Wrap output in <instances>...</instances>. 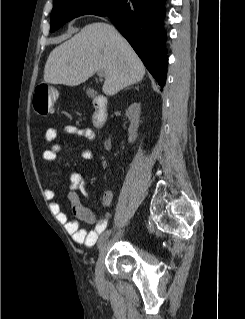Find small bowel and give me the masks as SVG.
<instances>
[{"instance_id":"small-bowel-1","label":"small bowel","mask_w":245,"mask_h":319,"mask_svg":"<svg viewBox=\"0 0 245 319\" xmlns=\"http://www.w3.org/2000/svg\"><path fill=\"white\" fill-rule=\"evenodd\" d=\"M67 134L78 135L89 142L96 140V135L91 128H79L74 125H67L64 128ZM59 133V129L55 127L48 128L45 132V142L51 144V147L43 152V161L47 164L59 163L62 160V146L54 143ZM83 160H88L92 157L90 149H83L80 153ZM70 193L68 199L71 203L72 214L74 219H69L68 215L62 210L61 205L56 201H51V211L56 215L59 222L64 224L66 231L71 235L72 239L80 244L87 246L94 245L101 233L105 230L111 214L109 212H95L85 207L77 193L79 191L85 197H89L88 190L89 181L76 171H72L69 175ZM45 198L52 200L55 196L54 191L46 189L44 191ZM113 194L110 190L105 191L102 196L103 207H108L111 204ZM81 222L92 225L91 229H86L81 226Z\"/></svg>"}]
</instances>
